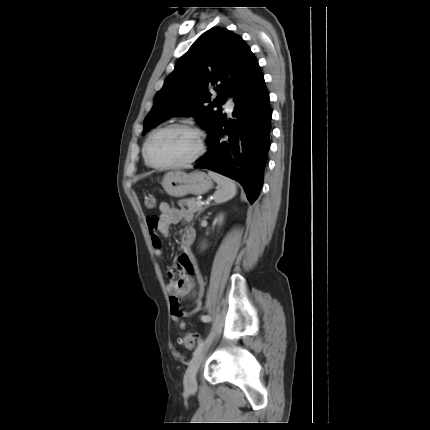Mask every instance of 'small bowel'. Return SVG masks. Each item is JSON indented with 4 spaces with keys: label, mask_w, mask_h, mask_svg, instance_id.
I'll use <instances>...</instances> for the list:
<instances>
[{
    "label": "small bowel",
    "mask_w": 430,
    "mask_h": 430,
    "mask_svg": "<svg viewBox=\"0 0 430 430\" xmlns=\"http://www.w3.org/2000/svg\"><path fill=\"white\" fill-rule=\"evenodd\" d=\"M160 215L147 218V226L154 254L162 256V245L158 233L167 236L172 224L181 221L190 222L192 213L183 208L170 206L166 202L159 205ZM195 240V231L187 227L181 234L180 254L170 266L169 274H178L177 279H171L168 283L171 302V318L178 331L186 329L184 317H192L198 311L204 294V279L198 267V262L191 250ZM189 299L195 308L186 313L181 307V301ZM181 341V340H180Z\"/></svg>",
    "instance_id": "c3829d8e"
}]
</instances>
